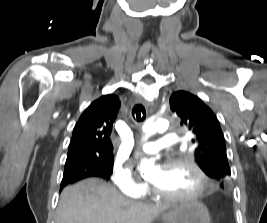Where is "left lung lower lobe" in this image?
Here are the masks:
<instances>
[{
    "instance_id": "left-lung-lower-lobe-1",
    "label": "left lung lower lobe",
    "mask_w": 267,
    "mask_h": 223,
    "mask_svg": "<svg viewBox=\"0 0 267 223\" xmlns=\"http://www.w3.org/2000/svg\"><path fill=\"white\" fill-rule=\"evenodd\" d=\"M215 190H230L229 182H216Z\"/></svg>"
}]
</instances>
